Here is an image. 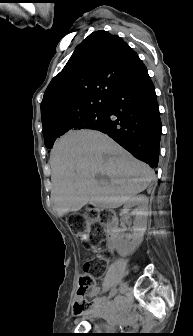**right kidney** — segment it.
<instances>
[{
  "label": "right kidney",
  "instance_id": "obj_1",
  "mask_svg": "<svg viewBox=\"0 0 193 336\" xmlns=\"http://www.w3.org/2000/svg\"><path fill=\"white\" fill-rule=\"evenodd\" d=\"M132 207H136L133 211L135 215L132 242L130 243V251H134L143 241V236L147 228L148 218V198L145 195H138L128 199L123 207L124 212H128Z\"/></svg>",
  "mask_w": 193,
  "mask_h": 336
}]
</instances>
